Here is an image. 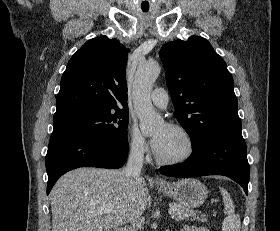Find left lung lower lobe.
<instances>
[{"instance_id": "left-lung-lower-lobe-1", "label": "left lung lower lobe", "mask_w": 280, "mask_h": 231, "mask_svg": "<svg viewBox=\"0 0 280 231\" xmlns=\"http://www.w3.org/2000/svg\"><path fill=\"white\" fill-rule=\"evenodd\" d=\"M192 155L183 163L161 167L172 177L223 175L240 184L248 195L250 168L241 129L210 133L192 143Z\"/></svg>"}]
</instances>
